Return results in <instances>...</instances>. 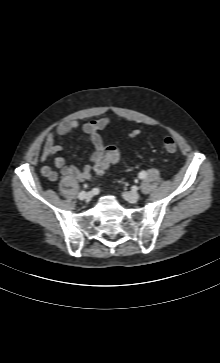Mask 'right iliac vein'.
<instances>
[{
    "instance_id": "right-iliac-vein-1",
    "label": "right iliac vein",
    "mask_w": 220,
    "mask_h": 363,
    "mask_svg": "<svg viewBox=\"0 0 220 363\" xmlns=\"http://www.w3.org/2000/svg\"><path fill=\"white\" fill-rule=\"evenodd\" d=\"M91 198H92V194L90 192H88V193L85 194L84 200L85 201H90Z\"/></svg>"
}]
</instances>
